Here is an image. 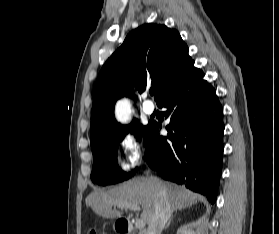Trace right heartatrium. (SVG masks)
<instances>
[{
    "instance_id": "right-heart-atrium-1",
    "label": "right heart atrium",
    "mask_w": 279,
    "mask_h": 234,
    "mask_svg": "<svg viewBox=\"0 0 279 234\" xmlns=\"http://www.w3.org/2000/svg\"><path fill=\"white\" fill-rule=\"evenodd\" d=\"M119 142L124 154L123 169L131 172L140 165L144 158L143 141L138 133L130 130L121 136Z\"/></svg>"
}]
</instances>
